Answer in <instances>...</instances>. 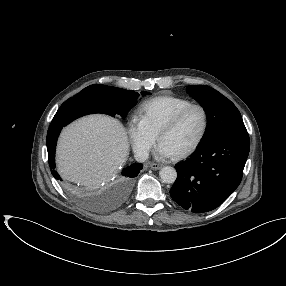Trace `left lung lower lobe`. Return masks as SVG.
<instances>
[{
  "instance_id": "0a47b994",
  "label": "left lung lower lobe",
  "mask_w": 286,
  "mask_h": 286,
  "mask_svg": "<svg viewBox=\"0 0 286 286\" xmlns=\"http://www.w3.org/2000/svg\"><path fill=\"white\" fill-rule=\"evenodd\" d=\"M249 149L248 135H221L201 143L190 158L176 165L172 199L194 213L217 208L240 184Z\"/></svg>"
}]
</instances>
